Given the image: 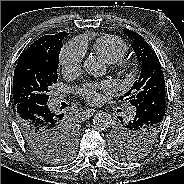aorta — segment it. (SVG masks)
Listing matches in <instances>:
<instances>
[{
    "label": "aorta",
    "instance_id": "aorta-1",
    "mask_svg": "<svg viewBox=\"0 0 184 184\" xmlns=\"http://www.w3.org/2000/svg\"><path fill=\"white\" fill-rule=\"evenodd\" d=\"M83 68L89 75L94 77L103 76L106 72L105 66L95 57H88L83 62ZM94 127L98 130L110 128L112 124V116L107 112H98L93 117Z\"/></svg>",
    "mask_w": 184,
    "mask_h": 184
}]
</instances>
